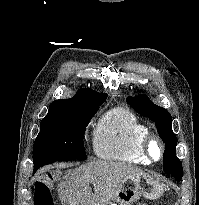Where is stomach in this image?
Listing matches in <instances>:
<instances>
[{
    "label": "stomach",
    "instance_id": "1",
    "mask_svg": "<svg viewBox=\"0 0 199 205\" xmlns=\"http://www.w3.org/2000/svg\"><path fill=\"white\" fill-rule=\"evenodd\" d=\"M164 185L149 175H130L120 184L111 205H132L141 196L154 200L164 193Z\"/></svg>",
    "mask_w": 199,
    "mask_h": 205
}]
</instances>
